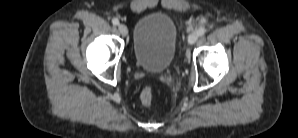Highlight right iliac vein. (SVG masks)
<instances>
[{"mask_svg": "<svg viewBox=\"0 0 298 138\" xmlns=\"http://www.w3.org/2000/svg\"><path fill=\"white\" fill-rule=\"evenodd\" d=\"M118 30L122 36H126L128 34V29L124 24H120L118 26Z\"/></svg>", "mask_w": 298, "mask_h": 138, "instance_id": "1", "label": "right iliac vein"}]
</instances>
